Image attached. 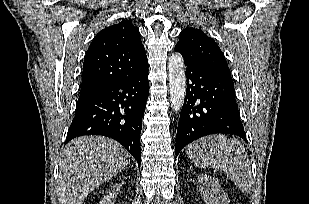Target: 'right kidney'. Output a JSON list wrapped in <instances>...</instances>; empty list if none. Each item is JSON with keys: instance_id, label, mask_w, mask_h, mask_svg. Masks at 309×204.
<instances>
[{"instance_id": "1", "label": "right kidney", "mask_w": 309, "mask_h": 204, "mask_svg": "<svg viewBox=\"0 0 309 204\" xmlns=\"http://www.w3.org/2000/svg\"><path fill=\"white\" fill-rule=\"evenodd\" d=\"M121 184H114L108 191L107 194L102 198L100 204H114L115 199L120 191Z\"/></svg>"}]
</instances>
